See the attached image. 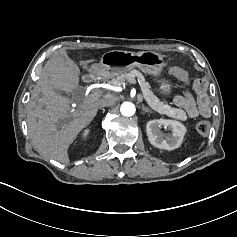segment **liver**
Here are the masks:
<instances>
[{
    "label": "liver",
    "instance_id": "6515ba94",
    "mask_svg": "<svg viewBox=\"0 0 237 237\" xmlns=\"http://www.w3.org/2000/svg\"><path fill=\"white\" fill-rule=\"evenodd\" d=\"M83 70L100 74L90 61H80ZM79 68L67 51L53 55L46 63L27 104L28 133L37 152L62 164H69L68 149L78 135L94 120L101 99L86 97L77 108L71 109L70 95L79 84ZM64 94L65 96H63ZM80 98H77L78 102ZM62 121H67L61 123Z\"/></svg>",
    "mask_w": 237,
    "mask_h": 237
}]
</instances>
